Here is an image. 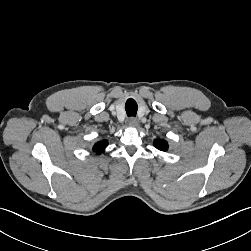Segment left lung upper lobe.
Returning <instances> with one entry per match:
<instances>
[{
  "label": "left lung upper lobe",
  "mask_w": 251,
  "mask_h": 251,
  "mask_svg": "<svg viewBox=\"0 0 251 251\" xmlns=\"http://www.w3.org/2000/svg\"><path fill=\"white\" fill-rule=\"evenodd\" d=\"M154 146L157 149L161 150V151H167V149H168L167 142L165 140H162V139L161 140H155L154 141Z\"/></svg>",
  "instance_id": "1"
}]
</instances>
